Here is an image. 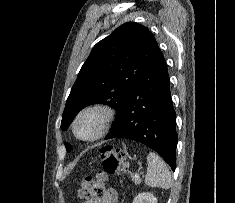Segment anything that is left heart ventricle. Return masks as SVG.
<instances>
[{
	"instance_id": "obj_1",
	"label": "left heart ventricle",
	"mask_w": 235,
	"mask_h": 203,
	"mask_svg": "<svg viewBox=\"0 0 235 203\" xmlns=\"http://www.w3.org/2000/svg\"><path fill=\"white\" fill-rule=\"evenodd\" d=\"M100 120V115L97 113H88L84 115L77 125L80 136L86 138L93 136L99 129Z\"/></svg>"
}]
</instances>
